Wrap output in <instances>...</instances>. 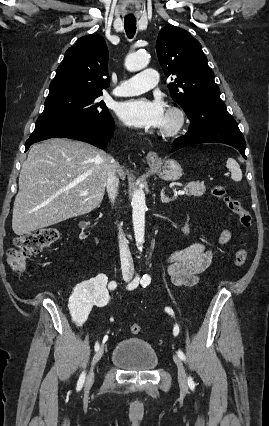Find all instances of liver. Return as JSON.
I'll list each match as a JSON object with an SVG mask.
<instances>
[{
  "instance_id": "6515ba94",
  "label": "liver",
  "mask_w": 269,
  "mask_h": 426,
  "mask_svg": "<svg viewBox=\"0 0 269 426\" xmlns=\"http://www.w3.org/2000/svg\"><path fill=\"white\" fill-rule=\"evenodd\" d=\"M113 158L77 140L52 138L30 148L19 176L12 229L31 232L87 214L103 200ZM118 173L125 179L124 171ZM88 191L87 196H81Z\"/></svg>"
}]
</instances>
